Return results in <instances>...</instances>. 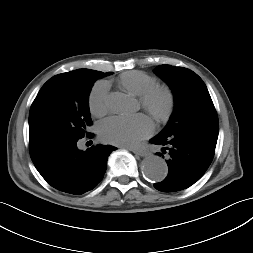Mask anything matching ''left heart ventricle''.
<instances>
[{"label": "left heart ventricle", "instance_id": "b2bd125f", "mask_svg": "<svg viewBox=\"0 0 253 253\" xmlns=\"http://www.w3.org/2000/svg\"><path fill=\"white\" fill-rule=\"evenodd\" d=\"M164 105V99L163 98H159L157 101V107L158 108H162Z\"/></svg>", "mask_w": 253, "mask_h": 253}]
</instances>
